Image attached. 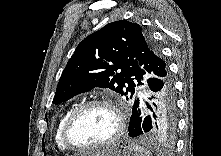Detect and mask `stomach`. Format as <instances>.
Here are the masks:
<instances>
[{
    "label": "stomach",
    "instance_id": "1",
    "mask_svg": "<svg viewBox=\"0 0 221 156\" xmlns=\"http://www.w3.org/2000/svg\"><path fill=\"white\" fill-rule=\"evenodd\" d=\"M131 143L119 141L97 150L89 156H135Z\"/></svg>",
    "mask_w": 221,
    "mask_h": 156
}]
</instances>
